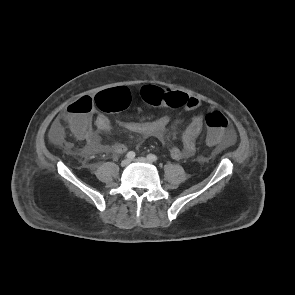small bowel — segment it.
Masks as SVG:
<instances>
[{
    "label": "small bowel",
    "instance_id": "1",
    "mask_svg": "<svg viewBox=\"0 0 295 295\" xmlns=\"http://www.w3.org/2000/svg\"><path fill=\"white\" fill-rule=\"evenodd\" d=\"M202 107L201 100L188 96L184 109L186 112H195L196 114L182 135V145L171 148L170 156L173 159L181 160L194 156L196 140L204 125ZM170 122L171 116L163 115L152 121H121L119 125L133 133L162 139ZM93 126H95L96 131L93 130ZM72 130L77 138L86 142V150L90 154L111 153L118 155L126 151V145L122 142L107 144L102 140L101 135L107 134L111 130V123L104 114H96L94 117L89 114L80 121L77 128ZM50 138L55 144H61L63 142V130L58 121L54 122L50 129Z\"/></svg>",
    "mask_w": 295,
    "mask_h": 295
}]
</instances>
